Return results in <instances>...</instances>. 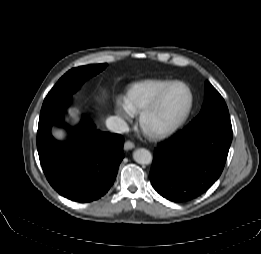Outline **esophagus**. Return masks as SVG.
<instances>
[{
    "label": "esophagus",
    "instance_id": "obj_1",
    "mask_svg": "<svg viewBox=\"0 0 261 254\" xmlns=\"http://www.w3.org/2000/svg\"><path fill=\"white\" fill-rule=\"evenodd\" d=\"M135 147L134 143L131 141H126L124 144V150L128 151Z\"/></svg>",
    "mask_w": 261,
    "mask_h": 254
}]
</instances>
